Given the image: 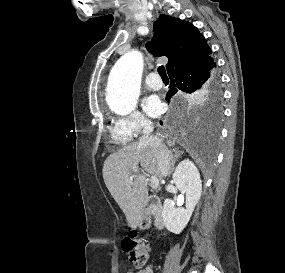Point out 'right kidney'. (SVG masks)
<instances>
[{"label":"right kidney","mask_w":285,"mask_h":273,"mask_svg":"<svg viewBox=\"0 0 285 273\" xmlns=\"http://www.w3.org/2000/svg\"><path fill=\"white\" fill-rule=\"evenodd\" d=\"M173 181L180 191L186 193V205L185 208L176 207L174 201L166 199L162 217L168 231L180 234L188 224L194 208L200 200L202 181L197 167L189 159L178 164L173 174Z\"/></svg>","instance_id":"right-kidney-1"}]
</instances>
